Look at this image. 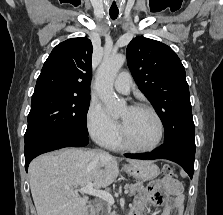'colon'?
<instances>
[{
	"label": "colon",
	"instance_id": "5ec220e1",
	"mask_svg": "<svg viewBox=\"0 0 223 215\" xmlns=\"http://www.w3.org/2000/svg\"><path fill=\"white\" fill-rule=\"evenodd\" d=\"M163 173L166 177L174 179L176 177L175 172L173 171V169L169 166H165L163 168Z\"/></svg>",
	"mask_w": 223,
	"mask_h": 215
}]
</instances>
